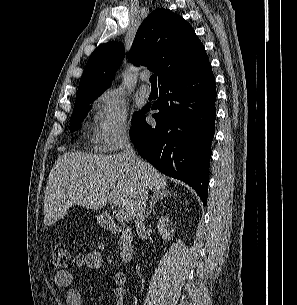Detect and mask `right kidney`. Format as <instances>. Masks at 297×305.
Masks as SVG:
<instances>
[{
    "label": "right kidney",
    "instance_id": "obj_1",
    "mask_svg": "<svg viewBox=\"0 0 297 305\" xmlns=\"http://www.w3.org/2000/svg\"><path fill=\"white\" fill-rule=\"evenodd\" d=\"M168 221L169 218L167 216H162L157 223V228L165 241H169L171 239V233H174V229H171V232L167 231L166 226Z\"/></svg>",
    "mask_w": 297,
    "mask_h": 305
}]
</instances>
